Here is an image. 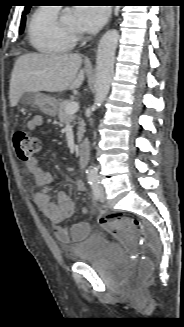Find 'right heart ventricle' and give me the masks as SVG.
<instances>
[{"mask_svg": "<svg viewBox=\"0 0 184 327\" xmlns=\"http://www.w3.org/2000/svg\"><path fill=\"white\" fill-rule=\"evenodd\" d=\"M59 10L56 7H39L28 22V39L37 51L47 54L67 52L74 46V39L58 26Z\"/></svg>", "mask_w": 184, "mask_h": 327, "instance_id": "right-heart-ventricle-1", "label": "right heart ventricle"}]
</instances>
